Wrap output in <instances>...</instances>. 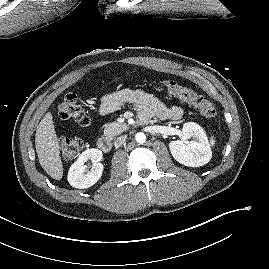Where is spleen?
<instances>
[{
  "label": "spleen",
  "mask_w": 269,
  "mask_h": 269,
  "mask_svg": "<svg viewBox=\"0 0 269 269\" xmlns=\"http://www.w3.org/2000/svg\"><path fill=\"white\" fill-rule=\"evenodd\" d=\"M211 145H214L215 144V140H214V138H213V136L211 137Z\"/></svg>",
  "instance_id": "1"
}]
</instances>
